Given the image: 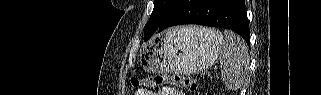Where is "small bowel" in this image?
Returning a JSON list of instances; mask_svg holds the SVG:
<instances>
[{"instance_id": "c3829d8e", "label": "small bowel", "mask_w": 321, "mask_h": 95, "mask_svg": "<svg viewBox=\"0 0 321 95\" xmlns=\"http://www.w3.org/2000/svg\"><path fill=\"white\" fill-rule=\"evenodd\" d=\"M138 95H150V93H144L143 91H139ZM160 95H182V93L174 88L166 87L162 90Z\"/></svg>"}]
</instances>
